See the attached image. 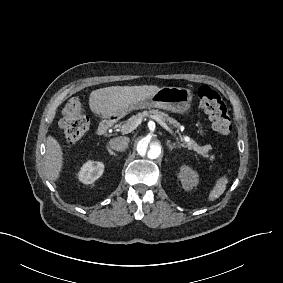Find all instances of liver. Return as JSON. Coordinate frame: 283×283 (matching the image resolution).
Listing matches in <instances>:
<instances>
[{"label":"liver","mask_w":283,"mask_h":283,"mask_svg":"<svg viewBox=\"0 0 283 283\" xmlns=\"http://www.w3.org/2000/svg\"><path fill=\"white\" fill-rule=\"evenodd\" d=\"M157 85L111 86L93 90L88 106L94 118H118L132 106L152 97L159 91ZM45 172L52 182L59 181L64 167L63 146L53 136L46 140Z\"/></svg>","instance_id":"1"}]
</instances>
